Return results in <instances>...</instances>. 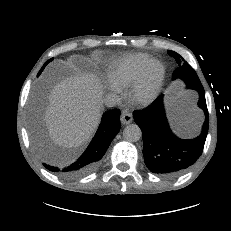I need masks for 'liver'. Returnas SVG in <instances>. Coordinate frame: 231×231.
<instances>
[{"instance_id":"liver-1","label":"liver","mask_w":231,"mask_h":231,"mask_svg":"<svg viewBox=\"0 0 231 231\" xmlns=\"http://www.w3.org/2000/svg\"><path fill=\"white\" fill-rule=\"evenodd\" d=\"M103 89L94 74L81 73L57 83L48 96L44 120L52 140L65 148H77L97 130L103 110ZM31 130L34 148L46 156L40 131ZM36 128V129H35Z\"/></svg>"}]
</instances>
